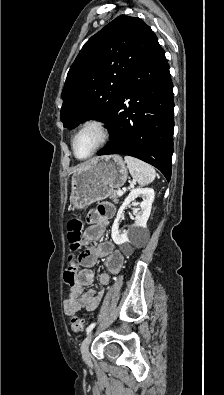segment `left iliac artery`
<instances>
[{
  "label": "left iliac artery",
  "instance_id": "obj_1",
  "mask_svg": "<svg viewBox=\"0 0 224 395\" xmlns=\"http://www.w3.org/2000/svg\"><path fill=\"white\" fill-rule=\"evenodd\" d=\"M96 326V323L94 322V323H91L88 327H87V329H86V333H87V335L93 330V328Z\"/></svg>",
  "mask_w": 224,
  "mask_h": 395
}]
</instances>
